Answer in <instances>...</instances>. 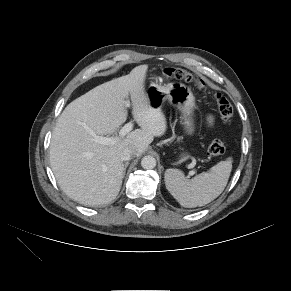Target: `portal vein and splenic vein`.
Masks as SVG:
<instances>
[{
    "mask_svg": "<svg viewBox=\"0 0 291 291\" xmlns=\"http://www.w3.org/2000/svg\"><path fill=\"white\" fill-rule=\"evenodd\" d=\"M129 103H126V106L129 107ZM133 129V123L129 122L125 124L121 130L119 131L120 137L125 136L127 133H129ZM94 141L100 144L104 145H110L114 144L117 141V138L115 137H103V136H95ZM194 171H190L189 175H193Z\"/></svg>",
    "mask_w": 291,
    "mask_h": 291,
    "instance_id": "1",
    "label": "portal vein and splenic vein"
}]
</instances>
